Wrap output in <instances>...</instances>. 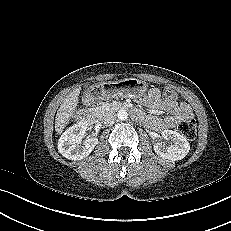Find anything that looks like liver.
Listing matches in <instances>:
<instances>
[{"label": "liver", "mask_w": 231, "mask_h": 231, "mask_svg": "<svg viewBox=\"0 0 231 231\" xmlns=\"http://www.w3.org/2000/svg\"><path fill=\"white\" fill-rule=\"evenodd\" d=\"M79 93V90L71 92L60 105L55 118V131L57 134H61L63 132L64 128L69 123L70 118L73 116L78 105Z\"/></svg>", "instance_id": "liver-1"}]
</instances>
